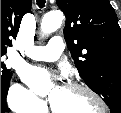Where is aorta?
<instances>
[{
	"label": "aorta",
	"instance_id": "aorta-1",
	"mask_svg": "<svg viewBox=\"0 0 121 113\" xmlns=\"http://www.w3.org/2000/svg\"><path fill=\"white\" fill-rule=\"evenodd\" d=\"M64 16L61 11H51L44 15L41 22V31L50 34L60 28Z\"/></svg>",
	"mask_w": 121,
	"mask_h": 113
}]
</instances>
